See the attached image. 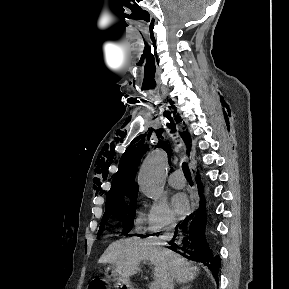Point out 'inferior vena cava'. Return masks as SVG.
<instances>
[{"instance_id": "inferior-vena-cava-1", "label": "inferior vena cava", "mask_w": 289, "mask_h": 289, "mask_svg": "<svg viewBox=\"0 0 289 289\" xmlns=\"http://www.w3.org/2000/svg\"><path fill=\"white\" fill-rule=\"evenodd\" d=\"M174 228H175L174 222H172L169 226H167L165 228V230H166L165 237L167 239L172 238ZM173 288H174L173 274H172V271L170 270V268H167L165 273H164V277L162 279V282H161V289H173Z\"/></svg>"}]
</instances>
